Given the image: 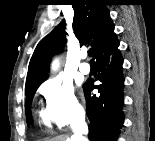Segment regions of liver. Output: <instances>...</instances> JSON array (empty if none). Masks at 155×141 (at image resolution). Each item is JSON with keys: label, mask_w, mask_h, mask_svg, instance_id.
<instances>
[{"label": "liver", "mask_w": 155, "mask_h": 141, "mask_svg": "<svg viewBox=\"0 0 155 141\" xmlns=\"http://www.w3.org/2000/svg\"><path fill=\"white\" fill-rule=\"evenodd\" d=\"M49 141H70V139L67 136L60 135V136L51 138Z\"/></svg>", "instance_id": "liver-1"}]
</instances>
